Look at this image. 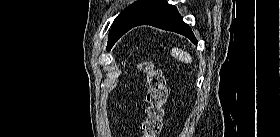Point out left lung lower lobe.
Here are the masks:
<instances>
[{
    "mask_svg": "<svg viewBox=\"0 0 280 137\" xmlns=\"http://www.w3.org/2000/svg\"><path fill=\"white\" fill-rule=\"evenodd\" d=\"M139 25H151L163 30L173 31L186 36L194 44H197V39L191 28L183 21L176 7L168 4L165 0H162L153 10L140 21L133 24L127 31Z\"/></svg>",
    "mask_w": 280,
    "mask_h": 137,
    "instance_id": "0a47b994",
    "label": "left lung lower lobe"
}]
</instances>
